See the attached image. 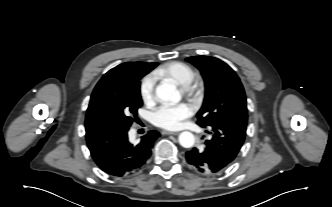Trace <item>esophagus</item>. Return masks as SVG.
I'll return each instance as SVG.
<instances>
[{
  "label": "esophagus",
  "instance_id": "1",
  "mask_svg": "<svg viewBox=\"0 0 332 207\" xmlns=\"http://www.w3.org/2000/svg\"><path fill=\"white\" fill-rule=\"evenodd\" d=\"M162 135H177L178 132H174V131H168V130H163Z\"/></svg>",
  "mask_w": 332,
  "mask_h": 207
}]
</instances>
